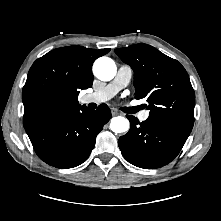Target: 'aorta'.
<instances>
[{"instance_id": "obj_1", "label": "aorta", "mask_w": 221, "mask_h": 221, "mask_svg": "<svg viewBox=\"0 0 221 221\" xmlns=\"http://www.w3.org/2000/svg\"><path fill=\"white\" fill-rule=\"evenodd\" d=\"M116 64L108 57L98 58L93 65L95 76L102 81H110L116 75ZM129 121L122 116L113 117L110 123V129L115 133H123L129 130Z\"/></svg>"}]
</instances>
